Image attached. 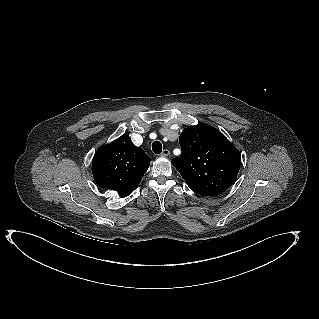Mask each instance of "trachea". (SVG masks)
<instances>
[{"label": "trachea", "instance_id": "3493384b", "mask_svg": "<svg viewBox=\"0 0 319 319\" xmlns=\"http://www.w3.org/2000/svg\"><path fill=\"white\" fill-rule=\"evenodd\" d=\"M152 150L155 154H160L162 152V144L160 141H154L152 143Z\"/></svg>", "mask_w": 319, "mask_h": 319}]
</instances>
